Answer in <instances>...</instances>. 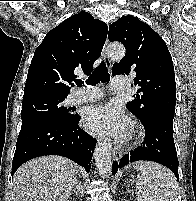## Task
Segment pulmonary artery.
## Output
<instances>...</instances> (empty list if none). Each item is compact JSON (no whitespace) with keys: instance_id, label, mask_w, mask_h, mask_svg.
I'll list each match as a JSON object with an SVG mask.
<instances>
[{"instance_id":"obj_1","label":"pulmonary artery","mask_w":196,"mask_h":201,"mask_svg":"<svg viewBox=\"0 0 196 201\" xmlns=\"http://www.w3.org/2000/svg\"><path fill=\"white\" fill-rule=\"evenodd\" d=\"M127 86V81L124 77L113 78L110 83V88L113 91L124 90ZM103 92L93 87L81 88L75 91L71 96L73 104H79L89 101H95L102 98Z\"/></svg>"}]
</instances>
